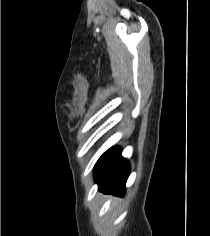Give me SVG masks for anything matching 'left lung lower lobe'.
Masks as SVG:
<instances>
[{"mask_svg":"<svg viewBox=\"0 0 210 236\" xmlns=\"http://www.w3.org/2000/svg\"><path fill=\"white\" fill-rule=\"evenodd\" d=\"M129 170V163L121 156V150L111 148L95 164V182L98 183L99 190L105 193L123 195Z\"/></svg>","mask_w":210,"mask_h":236,"instance_id":"1","label":"left lung lower lobe"}]
</instances>
